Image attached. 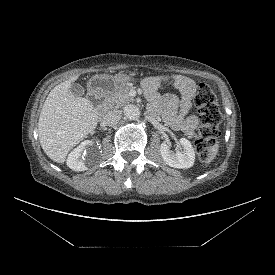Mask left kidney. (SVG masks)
<instances>
[{
	"instance_id": "left-kidney-1",
	"label": "left kidney",
	"mask_w": 275,
	"mask_h": 275,
	"mask_svg": "<svg viewBox=\"0 0 275 275\" xmlns=\"http://www.w3.org/2000/svg\"><path fill=\"white\" fill-rule=\"evenodd\" d=\"M180 144L183 147L182 151H172L170 147L162 143L160 153L167 165L178 169H187L194 165L195 152L189 140L186 138L180 139Z\"/></svg>"
}]
</instances>
